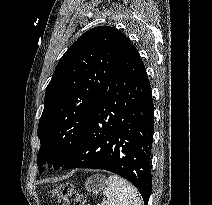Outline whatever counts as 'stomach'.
<instances>
[{
	"label": "stomach",
	"mask_w": 212,
	"mask_h": 205,
	"mask_svg": "<svg viewBox=\"0 0 212 205\" xmlns=\"http://www.w3.org/2000/svg\"><path fill=\"white\" fill-rule=\"evenodd\" d=\"M105 186V177L103 175H94L85 182V188L88 192L98 194Z\"/></svg>",
	"instance_id": "0dacf381"
}]
</instances>
